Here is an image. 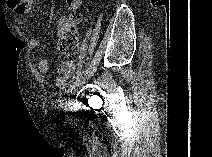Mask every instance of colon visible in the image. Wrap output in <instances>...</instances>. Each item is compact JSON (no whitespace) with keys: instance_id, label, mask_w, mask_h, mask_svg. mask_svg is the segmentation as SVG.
<instances>
[{"instance_id":"5ec220e1","label":"colon","mask_w":212,"mask_h":157,"mask_svg":"<svg viewBox=\"0 0 212 157\" xmlns=\"http://www.w3.org/2000/svg\"><path fill=\"white\" fill-rule=\"evenodd\" d=\"M69 26L58 34V49L68 59H75L79 54L78 25L81 23L80 12H71L68 15Z\"/></svg>"}]
</instances>
